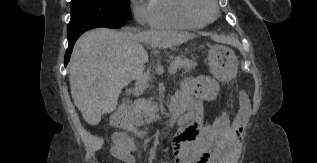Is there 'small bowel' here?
Listing matches in <instances>:
<instances>
[{"label": "small bowel", "instance_id": "obj_1", "mask_svg": "<svg viewBox=\"0 0 317 163\" xmlns=\"http://www.w3.org/2000/svg\"><path fill=\"white\" fill-rule=\"evenodd\" d=\"M219 83L209 77L185 81L170 102V112L176 115L179 131L172 139L174 163H233L239 136L250 114L249 99L240 95L236 117L223 116L212 126L203 124V102L216 98ZM175 118V119H176ZM135 142L122 136L113 148V155L122 163H136ZM166 163V162H162Z\"/></svg>", "mask_w": 317, "mask_h": 163}]
</instances>
